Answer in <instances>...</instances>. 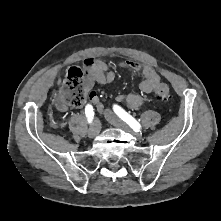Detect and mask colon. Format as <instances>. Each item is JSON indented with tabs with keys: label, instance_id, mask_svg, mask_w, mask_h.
Masks as SVG:
<instances>
[{
	"label": "colon",
	"instance_id": "colon-1",
	"mask_svg": "<svg viewBox=\"0 0 221 221\" xmlns=\"http://www.w3.org/2000/svg\"><path fill=\"white\" fill-rule=\"evenodd\" d=\"M93 79L90 73L80 67L70 68L61 82L59 98L67 105L81 106L92 87ZM155 95L161 100L170 98L169 86L164 83H158L155 87Z\"/></svg>",
	"mask_w": 221,
	"mask_h": 221
}]
</instances>
